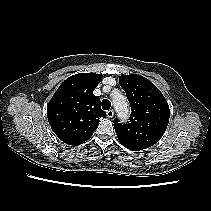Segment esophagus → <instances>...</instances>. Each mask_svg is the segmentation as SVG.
<instances>
[{
    "label": "esophagus",
    "instance_id": "1",
    "mask_svg": "<svg viewBox=\"0 0 211 211\" xmlns=\"http://www.w3.org/2000/svg\"><path fill=\"white\" fill-rule=\"evenodd\" d=\"M108 118H112L114 116V111L112 109L106 112Z\"/></svg>",
    "mask_w": 211,
    "mask_h": 211
}]
</instances>
